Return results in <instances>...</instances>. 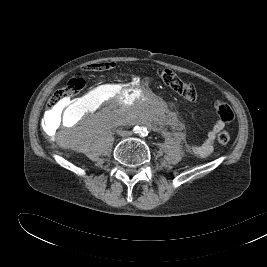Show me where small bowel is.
<instances>
[{"mask_svg": "<svg viewBox=\"0 0 267 267\" xmlns=\"http://www.w3.org/2000/svg\"><path fill=\"white\" fill-rule=\"evenodd\" d=\"M93 65L90 66V69H92ZM74 105L70 106H64L60 105L51 110V116L54 118H60L63 117L66 112H74L75 110ZM225 126V122L220 120H217L209 130L206 139L204 142L200 145L195 146H188V149H190L195 155L200 157H207L209 156L213 151V144L216 137V134L222 130Z\"/></svg>", "mask_w": 267, "mask_h": 267, "instance_id": "c3829d8e", "label": "small bowel"}]
</instances>
